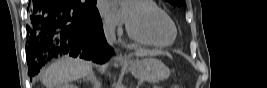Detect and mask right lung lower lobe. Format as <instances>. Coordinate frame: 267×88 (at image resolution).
Listing matches in <instances>:
<instances>
[{"label":"right lung lower lobe","mask_w":267,"mask_h":88,"mask_svg":"<svg viewBox=\"0 0 267 88\" xmlns=\"http://www.w3.org/2000/svg\"><path fill=\"white\" fill-rule=\"evenodd\" d=\"M26 56L28 74L36 75L47 59L69 54L106 62L108 47L96 7H80L72 0H33L28 8Z\"/></svg>","instance_id":"1"}]
</instances>
